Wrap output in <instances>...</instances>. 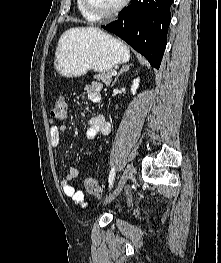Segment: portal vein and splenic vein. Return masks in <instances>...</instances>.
<instances>
[{
    "mask_svg": "<svg viewBox=\"0 0 221 263\" xmlns=\"http://www.w3.org/2000/svg\"><path fill=\"white\" fill-rule=\"evenodd\" d=\"M112 75L113 76L117 75V72L116 71H112Z\"/></svg>",
    "mask_w": 221,
    "mask_h": 263,
    "instance_id": "1",
    "label": "portal vein and splenic vein"
}]
</instances>
